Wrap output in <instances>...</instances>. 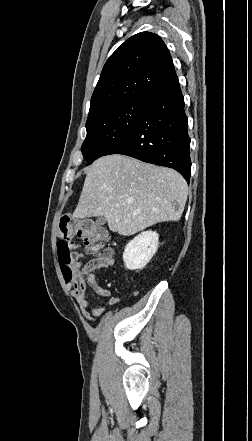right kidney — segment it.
Masks as SVG:
<instances>
[{
    "label": "right kidney",
    "mask_w": 252,
    "mask_h": 441,
    "mask_svg": "<svg viewBox=\"0 0 252 441\" xmlns=\"http://www.w3.org/2000/svg\"><path fill=\"white\" fill-rule=\"evenodd\" d=\"M159 235L155 231H144L125 247L123 261L129 270L144 268L158 248Z\"/></svg>",
    "instance_id": "ca27d5eb"
}]
</instances>
